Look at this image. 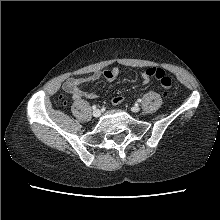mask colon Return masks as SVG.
I'll list each match as a JSON object with an SVG mask.
<instances>
[{
	"label": "colon",
	"instance_id": "colon-1",
	"mask_svg": "<svg viewBox=\"0 0 220 220\" xmlns=\"http://www.w3.org/2000/svg\"><path fill=\"white\" fill-rule=\"evenodd\" d=\"M145 73L149 78H156L165 91L171 88L172 79L162 69L150 67Z\"/></svg>",
	"mask_w": 220,
	"mask_h": 220
}]
</instances>
